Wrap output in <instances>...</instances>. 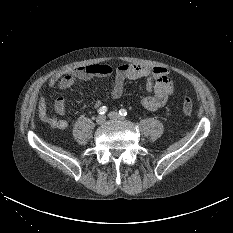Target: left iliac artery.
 <instances>
[{"label": "left iliac artery", "instance_id": "left-iliac-artery-1", "mask_svg": "<svg viewBox=\"0 0 233 233\" xmlns=\"http://www.w3.org/2000/svg\"><path fill=\"white\" fill-rule=\"evenodd\" d=\"M119 114H120L121 116H126V115H127V111H126L125 109H120V110H119Z\"/></svg>", "mask_w": 233, "mask_h": 233}]
</instances>
